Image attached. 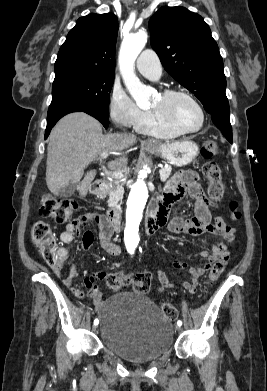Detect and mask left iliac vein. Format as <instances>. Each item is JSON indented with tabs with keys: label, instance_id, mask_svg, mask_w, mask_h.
<instances>
[{
	"label": "left iliac vein",
	"instance_id": "4c4485c4",
	"mask_svg": "<svg viewBox=\"0 0 267 391\" xmlns=\"http://www.w3.org/2000/svg\"><path fill=\"white\" fill-rule=\"evenodd\" d=\"M175 329H176V331H178V332H180V331L182 330L181 326H179V325H176Z\"/></svg>",
	"mask_w": 267,
	"mask_h": 391
}]
</instances>
